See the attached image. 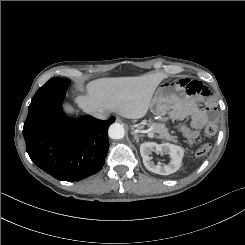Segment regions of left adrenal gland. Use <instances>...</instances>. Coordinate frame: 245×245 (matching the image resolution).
Wrapping results in <instances>:
<instances>
[{
    "label": "left adrenal gland",
    "instance_id": "1",
    "mask_svg": "<svg viewBox=\"0 0 245 245\" xmlns=\"http://www.w3.org/2000/svg\"><path fill=\"white\" fill-rule=\"evenodd\" d=\"M132 135L134 136V139H135L136 143H139V138L142 137V135H138V134H136L134 132H132Z\"/></svg>",
    "mask_w": 245,
    "mask_h": 245
}]
</instances>
